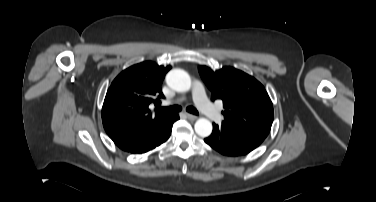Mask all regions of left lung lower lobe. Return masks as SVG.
Here are the masks:
<instances>
[{
	"label": "left lung lower lobe",
	"instance_id": "obj_1",
	"mask_svg": "<svg viewBox=\"0 0 376 202\" xmlns=\"http://www.w3.org/2000/svg\"><path fill=\"white\" fill-rule=\"evenodd\" d=\"M265 137L230 126L222 122L213 124V132L204 139L205 143L227 156L244 155L257 148Z\"/></svg>",
	"mask_w": 376,
	"mask_h": 202
}]
</instances>
